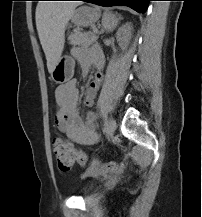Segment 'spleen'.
<instances>
[{
	"instance_id": "obj_1",
	"label": "spleen",
	"mask_w": 202,
	"mask_h": 217,
	"mask_svg": "<svg viewBox=\"0 0 202 217\" xmlns=\"http://www.w3.org/2000/svg\"><path fill=\"white\" fill-rule=\"evenodd\" d=\"M102 25L105 29L112 30L117 25L115 16L110 12L104 13L102 17Z\"/></svg>"
}]
</instances>
